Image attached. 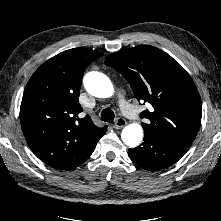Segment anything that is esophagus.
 I'll list each match as a JSON object with an SVG mask.
<instances>
[{"instance_id": "34e87169", "label": "esophagus", "mask_w": 221, "mask_h": 221, "mask_svg": "<svg viewBox=\"0 0 221 221\" xmlns=\"http://www.w3.org/2000/svg\"><path fill=\"white\" fill-rule=\"evenodd\" d=\"M127 124L126 120L124 118H117L115 123H114V128L115 129H121Z\"/></svg>"}]
</instances>
